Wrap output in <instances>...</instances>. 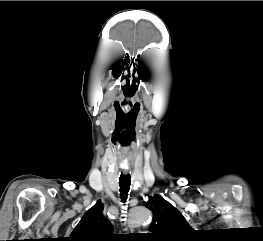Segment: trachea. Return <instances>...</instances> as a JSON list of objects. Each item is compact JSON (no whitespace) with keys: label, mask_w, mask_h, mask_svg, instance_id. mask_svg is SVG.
<instances>
[{"label":"trachea","mask_w":263,"mask_h":241,"mask_svg":"<svg viewBox=\"0 0 263 241\" xmlns=\"http://www.w3.org/2000/svg\"><path fill=\"white\" fill-rule=\"evenodd\" d=\"M119 185H120V198L123 202H126L131 185V176L129 174L127 175L121 174L119 178Z\"/></svg>","instance_id":"trachea-1"}]
</instances>
